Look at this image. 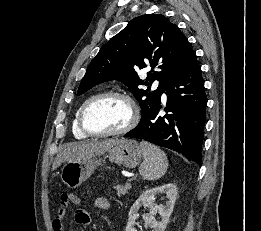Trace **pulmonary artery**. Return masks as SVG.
<instances>
[{"label": "pulmonary artery", "instance_id": "e3ab8cb5", "mask_svg": "<svg viewBox=\"0 0 261 231\" xmlns=\"http://www.w3.org/2000/svg\"><path fill=\"white\" fill-rule=\"evenodd\" d=\"M158 85V82H154L153 86L156 87ZM163 98L165 99L166 98V95L163 94Z\"/></svg>", "mask_w": 261, "mask_h": 231}]
</instances>
